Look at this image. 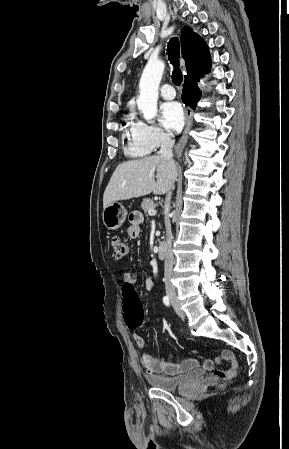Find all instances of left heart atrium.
I'll return each instance as SVG.
<instances>
[{"instance_id": "1", "label": "left heart atrium", "mask_w": 289, "mask_h": 449, "mask_svg": "<svg viewBox=\"0 0 289 449\" xmlns=\"http://www.w3.org/2000/svg\"><path fill=\"white\" fill-rule=\"evenodd\" d=\"M161 124L168 130L177 132L182 129L185 116L178 102H165L160 106Z\"/></svg>"}]
</instances>
